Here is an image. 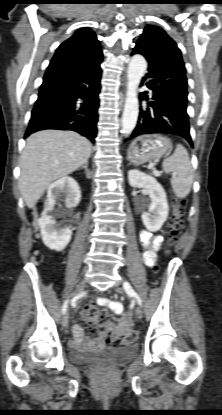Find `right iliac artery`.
Wrapping results in <instances>:
<instances>
[{"label":"right iliac artery","instance_id":"obj_1","mask_svg":"<svg viewBox=\"0 0 222 415\" xmlns=\"http://www.w3.org/2000/svg\"><path fill=\"white\" fill-rule=\"evenodd\" d=\"M84 295H85V292H84V293H81L79 296H80V297H82V296H84ZM67 307H68V300H66V301L64 302V304H63V307H62V313H63V314L66 312Z\"/></svg>","mask_w":222,"mask_h":415}]
</instances>
